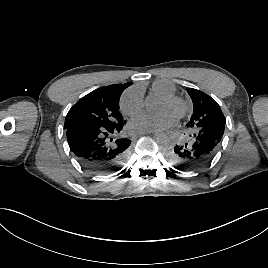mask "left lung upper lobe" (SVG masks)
Masks as SVG:
<instances>
[{"label":"left lung upper lobe","instance_id":"left-lung-upper-lobe-1","mask_svg":"<svg viewBox=\"0 0 268 268\" xmlns=\"http://www.w3.org/2000/svg\"><path fill=\"white\" fill-rule=\"evenodd\" d=\"M187 92L193 102V114L186 125L189 130L193 132L209 125H225L226 119L221 108L212 97L193 88Z\"/></svg>","mask_w":268,"mask_h":268}]
</instances>
